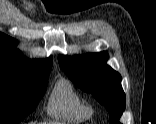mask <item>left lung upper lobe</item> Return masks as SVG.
<instances>
[{"instance_id": "obj_1", "label": "left lung upper lobe", "mask_w": 156, "mask_h": 124, "mask_svg": "<svg viewBox=\"0 0 156 124\" xmlns=\"http://www.w3.org/2000/svg\"><path fill=\"white\" fill-rule=\"evenodd\" d=\"M107 59L106 52L58 57L60 67L72 82L106 107L111 124H121L119 119L126 105L125 93L121 75L106 65Z\"/></svg>"}]
</instances>
